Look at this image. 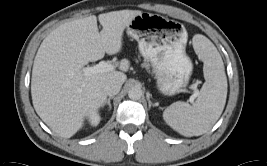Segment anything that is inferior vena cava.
<instances>
[{"label":"inferior vena cava","instance_id":"inferior-vena-cava-1","mask_svg":"<svg viewBox=\"0 0 267 166\" xmlns=\"http://www.w3.org/2000/svg\"><path fill=\"white\" fill-rule=\"evenodd\" d=\"M122 83L118 80L111 79L104 84V92L108 96H114L119 93Z\"/></svg>","mask_w":267,"mask_h":166}]
</instances>
